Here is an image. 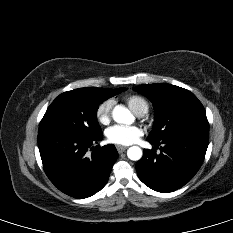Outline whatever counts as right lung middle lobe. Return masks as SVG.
I'll return each mask as SVG.
<instances>
[{"instance_id":"dd1d6c3e","label":"right lung middle lobe","mask_w":233,"mask_h":233,"mask_svg":"<svg viewBox=\"0 0 233 233\" xmlns=\"http://www.w3.org/2000/svg\"><path fill=\"white\" fill-rule=\"evenodd\" d=\"M126 90L121 89L118 93ZM110 96L96 95L82 89L60 94L48 107L42 118L38 134L67 132L87 137L97 136L102 130L97 120L99 104Z\"/></svg>"}]
</instances>
